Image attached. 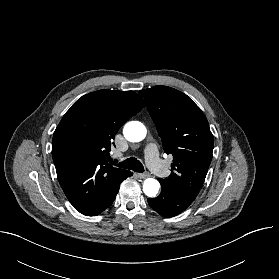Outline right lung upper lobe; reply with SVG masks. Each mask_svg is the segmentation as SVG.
Listing matches in <instances>:
<instances>
[{
    "mask_svg": "<svg viewBox=\"0 0 279 279\" xmlns=\"http://www.w3.org/2000/svg\"><path fill=\"white\" fill-rule=\"evenodd\" d=\"M145 107L133 91L99 90L82 96L66 112L52 140L58 181L80 212L94 210L129 171L107 162L112 140Z\"/></svg>",
    "mask_w": 279,
    "mask_h": 279,
    "instance_id": "cb5924a9",
    "label": "right lung upper lobe"
}]
</instances>
